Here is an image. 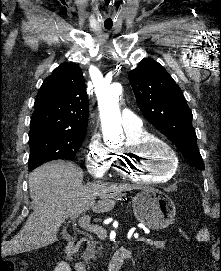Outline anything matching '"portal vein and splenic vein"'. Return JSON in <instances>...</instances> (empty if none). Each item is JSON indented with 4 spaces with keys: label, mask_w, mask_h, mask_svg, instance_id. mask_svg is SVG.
I'll use <instances>...</instances> for the list:
<instances>
[{
    "label": "portal vein and splenic vein",
    "mask_w": 221,
    "mask_h": 271,
    "mask_svg": "<svg viewBox=\"0 0 221 271\" xmlns=\"http://www.w3.org/2000/svg\"><path fill=\"white\" fill-rule=\"evenodd\" d=\"M71 217H78V215H71ZM78 223L80 227H83V229H86V231H90L91 234H97V238H104V234L106 233V230L103 229L102 226L98 225H91L89 217H86V215H83V217H79ZM147 237L144 235L143 237H136V242H143V239L145 240Z\"/></svg>",
    "instance_id": "1"
}]
</instances>
